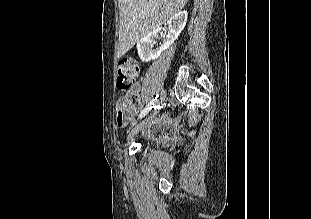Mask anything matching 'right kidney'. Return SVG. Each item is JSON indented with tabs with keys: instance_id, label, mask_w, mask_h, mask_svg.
Here are the masks:
<instances>
[{
	"instance_id": "ca27d5eb",
	"label": "right kidney",
	"mask_w": 311,
	"mask_h": 219,
	"mask_svg": "<svg viewBox=\"0 0 311 219\" xmlns=\"http://www.w3.org/2000/svg\"><path fill=\"white\" fill-rule=\"evenodd\" d=\"M187 18V11H180L167 21V24L169 25V33L163 40V43L158 50H153L152 47L155 39L158 36L160 28L150 32L145 37L140 39L137 43L139 58L143 62H149L151 60L157 59L160 54L168 49L179 37L180 33L182 32L187 23Z\"/></svg>"
}]
</instances>
